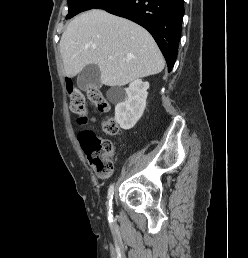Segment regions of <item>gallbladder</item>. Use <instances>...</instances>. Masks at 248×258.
<instances>
[{"label": "gallbladder", "mask_w": 248, "mask_h": 258, "mask_svg": "<svg viewBox=\"0 0 248 258\" xmlns=\"http://www.w3.org/2000/svg\"><path fill=\"white\" fill-rule=\"evenodd\" d=\"M100 76L101 71L99 66L89 64L79 73L77 85L83 91H87L90 87H98L100 85Z\"/></svg>", "instance_id": "gallbladder-1"}]
</instances>
